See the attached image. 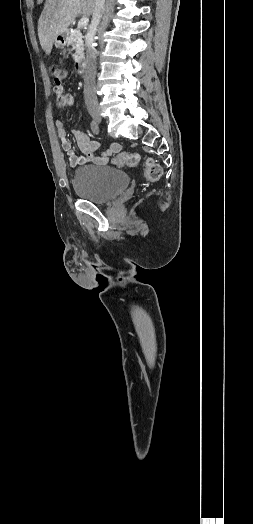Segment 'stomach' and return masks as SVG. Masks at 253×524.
<instances>
[{
	"instance_id": "1",
	"label": "stomach",
	"mask_w": 253,
	"mask_h": 524,
	"mask_svg": "<svg viewBox=\"0 0 253 524\" xmlns=\"http://www.w3.org/2000/svg\"><path fill=\"white\" fill-rule=\"evenodd\" d=\"M67 35L66 33H62L60 35H58L54 41V44H55V47L56 48H64V46H66L67 44Z\"/></svg>"
}]
</instances>
